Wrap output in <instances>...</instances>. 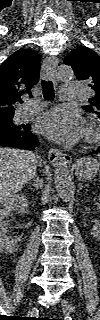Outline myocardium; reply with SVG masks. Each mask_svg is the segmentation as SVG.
Instances as JSON below:
<instances>
[{"mask_svg":"<svg viewBox=\"0 0 100 320\" xmlns=\"http://www.w3.org/2000/svg\"><path fill=\"white\" fill-rule=\"evenodd\" d=\"M98 131L93 124H87L83 130V146L87 147L98 140Z\"/></svg>","mask_w":100,"mask_h":320,"instance_id":"1","label":"myocardium"}]
</instances>
